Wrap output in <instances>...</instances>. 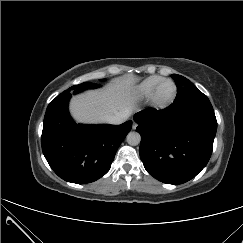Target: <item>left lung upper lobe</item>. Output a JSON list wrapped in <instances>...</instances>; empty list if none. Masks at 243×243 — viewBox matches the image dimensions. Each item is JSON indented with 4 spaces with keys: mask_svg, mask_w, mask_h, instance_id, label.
Instances as JSON below:
<instances>
[{
    "mask_svg": "<svg viewBox=\"0 0 243 243\" xmlns=\"http://www.w3.org/2000/svg\"><path fill=\"white\" fill-rule=\"evenodd\" d=\"M171 77L175 81L177 88H188V95L191 96V98H187V95L185 96L187 103L186 110L188 112L194 114H214L213 107L207 96L198 90L192 82L177 74H173Z\"/></svg>",
    "mask_w": 243,
    "mask_h": 243,
    "instance_id": "obj_1",
    "label": "left lung upper lobe"
}]
</instances>
